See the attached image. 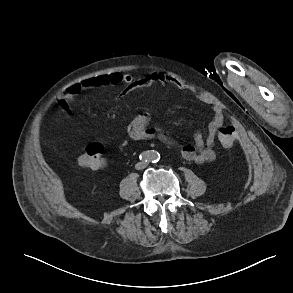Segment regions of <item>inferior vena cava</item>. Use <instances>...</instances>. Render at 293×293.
Masks as SVG:
<instances>
[{
	"mask_svg": "<svg viewBox=\"0 0 293 293\" xmlns=\"http://www.w3.org/2000/svg\"><path fill=\"white\" fill-rule=\"evenodd\" d=\"M146 165H147L146 162H140V163H137V164H136L135 168H136L137 170H140V169L145 168Z\"/></svg>",
	"mask_w": 293,
	"mask_h": 293,
	"instance_id": "1",
	"label": "inferior vena cava"
}]
</instances>
